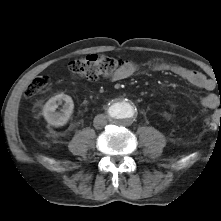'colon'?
Returning <instances> with one entry per match:
<instances>
[{
    "mask_svg": "<svg viewBox=\"0 0 221 221\" xmlns=\"http://www.w3.org/2000/svg\"><path fill=\"white\" fill-rule=\"evenodd\" d=\"M124 61L105 55H88L76 59L69 64V69L86 79L95 80L113 76L123 65ZM49 84L46 76L34 79L26 89V95L32 97L43 91ZM205 127L210 130L221 128V109L212 112L205 120Z\"/></svg>",
    "mask_w": 221,
    "mask_h": 221,
    "instance_id": "1",
    "label": "colon"
}]
</instances>
